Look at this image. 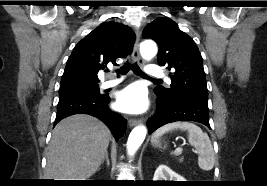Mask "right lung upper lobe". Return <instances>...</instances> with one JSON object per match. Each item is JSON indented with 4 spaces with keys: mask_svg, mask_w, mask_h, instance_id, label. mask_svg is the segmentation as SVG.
<instances>
[{
    "mask_svg": "<svg viewBox=\"0 0 267 186\" xmlns=\"http://www.w3.org/2000/svg\"><path fill=\"white\" fill-rule=\"evenodd\" d=\"M135 34L132 29L114 21L103 22L74 48L68 58L60 85L98 84L97 73L117 58L131 54Z\"/></svg>",
    "mask_w": 267,
    "mask_h": 186,
    "instance_id": "obj_1",
    "label": "right lung upper lobe"
}]
</instances>
